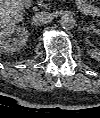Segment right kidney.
Instances as JSON below:
<instances>
[{"instance_id": "ca27d5eb", "label": "right kidney", "mask_w": 100, "mask_h": 118, "mask_svg": "<svg viewBox=\"0 0 100 118\" xmlns=\"http://www.w3.org/2000/svg\"><path fill=\"white\" fill-rule=\"evenodd\" d=\"M18 38H11L13 34ZM28 33L24 27H18L13 23L5 24L0 31V51L5 54H12L22 49L27 42Z\"/></svg>"}]
</instances>
